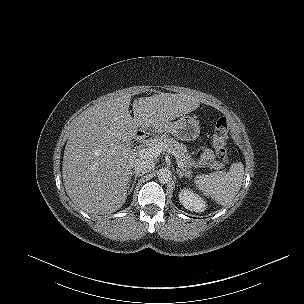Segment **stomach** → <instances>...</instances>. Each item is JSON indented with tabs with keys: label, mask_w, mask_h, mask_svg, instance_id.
Masks as SVG:
<instances>
[{
	"label": "stomach",
	"mask_w": 304,
	"mask_h": 304,
	"mask_svg": "<svg viewBox=\"0 0 304 304\" xmlns=\"http://www.w3.org/2000/svg\"><path fill=\"white\" fill-rule=\"evenodd\" d=\"M165 130L179 140L192 141L199 136L200 126L193 117L183 116L175 122L166 124Z\"/></svg>",
	"instance_id": "0dacf381"
}]
</instances>
